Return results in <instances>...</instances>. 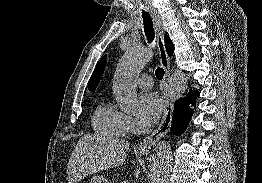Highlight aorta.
Masks as SVG:
<instances>
[{
    "instance_id": "obj_1",
    "label": "aorta",
    "mask_w": 262,
    "mask_h": 183,
    "mask_svg": "<svg viewBox=\"0 0 262 183\" xmlns=\"http://www.w3.org/2000/svg\"><path fill=\"white\" fill-rule=\"evenodd\" d=\"M149 49L135 46L127 50L119 62L113 82V94L119 108L124 112L138 109L137 86L135 77L151 60ZM187 87V77L181 70H176L168 81L164 97L172 102L179 99ZM172 154L166 141H160L155 150L153 165V183H164L172 168Z\"/></svg>"
}]
</instances>
